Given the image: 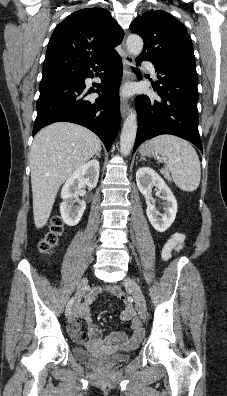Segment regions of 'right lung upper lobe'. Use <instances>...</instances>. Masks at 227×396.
Returning <instances> with one entry per match:
<instances>
[{"mask_svg": "<svg viewBox=\"0 0 227 396\" xmlns=\"http://www.w3.org/2000/svg\"><path fill=\"white\" fill-rule=\"evenodd\" d=\"M124 33L109 11L81 9L70 14L53 32L43 72L74 69L116 53Z\"/></svg>", "mask_w": 227, "mask_h": 396, "instance_id": "cb5924a9", "label": "right lung upper lobe"}]
</instances>
